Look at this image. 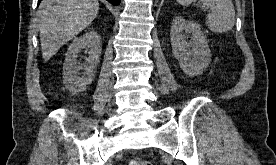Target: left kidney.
Instances as JSON below:
<instances>
[{"instance_id":"1","label":"left kidney","mask_w":276,"mask_h":165,"mask_svg":"<svg viewBox=\"0 0 276 165\" xmlns=\"http://www.w3.org/2000/svg\"><path fill=\"white\" fill-rule=\"evenodd\" d=\"M187 34H191L189 42ZM170 37L173 55L183 72L189 76L202 74L211 61V51L199 24L177 16L173 19Z\"/></svg>"}]
</instances>
